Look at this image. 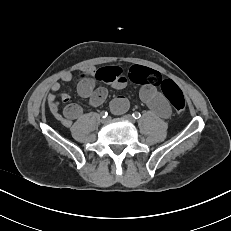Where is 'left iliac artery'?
Masks as SVG:
<instances>
[{
	"label": "left iliac artery",
	"instance_id": "obj_1",
	"mask_svg": "<svg viewBox=\"0 0 231 231\" xmlns=\"http://www.w3.org/2000/svg\"><path fill=\"white\" fill-rule=\"evenodd\" d=\"M132 116L135 118V119H139L141 117V114L139 112H134L132 114Z\"/></svg>",
	"mask_w": 231,
	"mask_h": 231
}]
</instances>
